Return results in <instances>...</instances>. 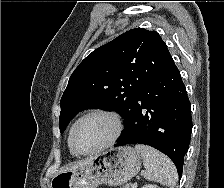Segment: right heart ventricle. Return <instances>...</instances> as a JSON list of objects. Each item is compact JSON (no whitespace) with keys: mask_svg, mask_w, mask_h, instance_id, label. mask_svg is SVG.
I'll list each match as a JSON object with an SVG mask.
<instances>
[{"mask_svg":"<svg viewBox=\"0 0 224 188\" xmlns=\"http://www.w3.org/2000/svg\"><path fill=\"white\" fill-rule=\"evenodd\" d=\"M72 127H73V126H72ZM71 130H72V128H71ZM71 130H70V132H69V136H68V146H69L70 153H71L73 156H75L76 154L72 151V149H71V147H70V134H71Z\"/></svg>","mask_w":224,"mask_h":188,"instance_id":"e07e8e85","label":"right heart ventricle"}]
</instances>
